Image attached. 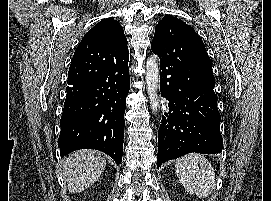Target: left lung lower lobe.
<instances>
[{"label": "left lung lower lobe", "instance_id": "left-lung-lower-lobe-1", "mask_svg": "<svg viewBox=\"0 0 271 201\" xmlns=\"http://www.w3.org/2000/svg\"><path fill=\"white\" fill-rule=\"evenodd\" d=\"M160 58V88L168 100L158 131L157 167L187 153H220V113L217 95L196 65L186 33L161 47H151Z\"/></svg>", "mask_w": 271, "mask_h": 201}]
</instances>
